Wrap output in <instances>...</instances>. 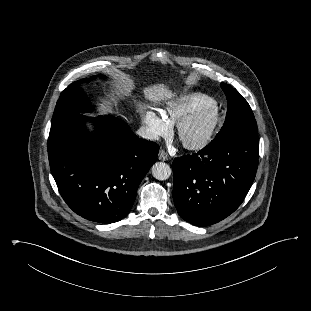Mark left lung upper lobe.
<instances>
[{
    "label": "left lung upper lobe",
    "mask_w": 311,
    "mask_h": 311,
    "mask_svg": "<svg viewBox=\"0 0 311 311\" xmlns=\"http://www.w3.org/2000/svg\"><path fill=\"white\" fill-rule=\"evenodd\" d=\"M221 88L227 97L228 109L224 125L214 140L236 134L258 135L257 123L247 101L230 85L221 83Z\"/></svg>",
    "instance_id": "5c2ea615"
}]
</instances>
